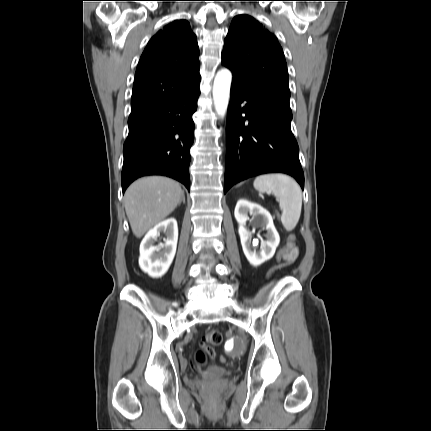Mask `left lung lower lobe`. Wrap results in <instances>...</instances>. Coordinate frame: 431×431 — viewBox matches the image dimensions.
Wrapping results in <instances>:
<instances>
[{"mask_svg":"<svg viewBox=\"0 0 431 431\" xmlns=\"http://www.w3.org/2000/svg\"><path fill=\"white\" fill-rule=\"evenodd\" d=\"M230 96L224 193L244 179L274 172L293 176L303 189L299 148L290 128L292 112L234 84Z\"/></svg>","mask_w":431,"mask_h":431,"instance_id":"left-lung-lower-lobe-1","label":"left lung lower lobe"}]
</instances>
